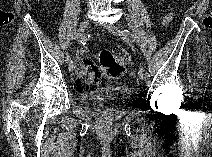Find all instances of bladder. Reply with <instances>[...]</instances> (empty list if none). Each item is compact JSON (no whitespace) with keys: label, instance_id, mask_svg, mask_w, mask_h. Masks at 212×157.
Wrapping results in <instances>:
<instances>
[{"label":"bladder","instance_id":"31cf9c89","mask_svg":"<svg viewBox=\"0 0 212 157\" xmlns=\"http://www.w3.org/2000/svg\"><path fill=\"white\" fill-rule=\"evenodd\" d=\"M138 95L135 88L129 86H107L80 92L79 104L99 119L114 121L123 117Z\"/></svg>","mask_w":212,"mask_h":157}]
</instances>
